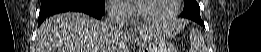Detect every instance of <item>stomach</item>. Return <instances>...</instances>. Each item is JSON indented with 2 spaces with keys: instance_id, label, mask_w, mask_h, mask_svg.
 I'll use <instances>...</instances> for the list:
<instances>
[{
  "instance_id": "1",
  "label": "stomach",
  "mask_w": 261,
  "mask_h": 52,
  "mask_svg": "<svg viewBox=\"0 0 261 52\" xmlns=\"http://www.w3.org/2000/svg\"><path fill=\"white\" fill-rule=\"evenodd\" d=\"M148 33L140 35L136 42L140 48V52H170L161 35L151 26L146 28Z\"/></svg>"
}]
</instances>
